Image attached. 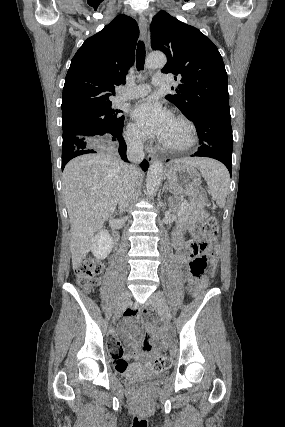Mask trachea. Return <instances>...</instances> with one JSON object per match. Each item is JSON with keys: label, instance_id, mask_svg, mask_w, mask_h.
<instances>
[{"label": "trachea", "instance_id": "obj_1", "mask_svg": "<svg viewBox=\"0 0 285 427\" xmlns=\"http://www.w3.org/2000/svg\"><path fill=\"white\" fill-rule=\"evenodd\" d=\"M145 53L146 52H145L144 42L140 40L137 44V51H136V67L138 71L144 68Z\"/></svg>", "mask_w": 285, "mask_h": 427}]
</instances>
